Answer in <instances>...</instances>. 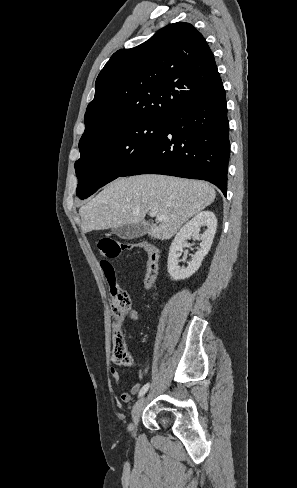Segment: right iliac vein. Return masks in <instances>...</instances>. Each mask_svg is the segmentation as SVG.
I'll return each instance as SVG.
<instances>
[{"label": "right iliac vein", "mask_w": 297, "mask_h": 488, "mask_svg": "<svg viewBox=\"0 0 297 488\" xmlns=\"http://www.w3.org/2000/svg\"><path fill=\"white\" fill-rule=\"evenodd\" d=\"M145 402H146V399L144 397H142L141 399H139L133 406V409H132V426L130 427V429L132 430L133 434L135 435V432H136V428H137V424H138V421H139V418L141 416V413L143 411V408L145 406Z\"/></svg>", "instance_id": "right-iliac-vein-1"}]
</instances>
